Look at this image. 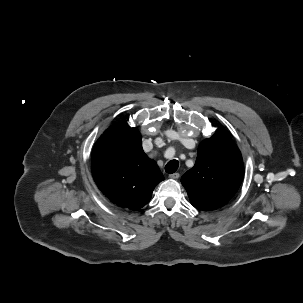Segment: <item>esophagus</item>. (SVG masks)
Returning <instances> with one entry per match:
<instances>
[{
  "label": "esophagus",
  "instance_id": "obj_1",
  "mask_svg": "<svg viewBox=\"0 0 303 303\" xmlns=\"http://www.w3.org/2000/svg\"><path fill=\"white\" fill-rule=\"evenodd\" d=\"M179 176H180V175H179V173H177V172H175V173L169 175V177H170L171 179H178Z\"/></svg>",
  "mask_w": 303,
  "mask_h": 303
}]
</instances>
